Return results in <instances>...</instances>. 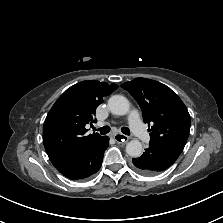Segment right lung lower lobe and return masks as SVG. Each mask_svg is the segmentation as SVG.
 <instances>
[{"mask_svg": "<svg viewBox=\"0 0 223 223\" xmlns=\"http://www.w3.org/2000/svg\"><path fill=\"white\" fill-rule=\"evenodd\" d=\"M109 145L108 136L102 137L83 154L67 160L57 166V170L65 177L78 180L96 173L101 165L103 154Z\"/></svg>", "mask_w": 223, "mask_h": 223, "instance_id": "right-lung-lower-lobe-1", "label": "right lung lower lobe"}]
</instances>
